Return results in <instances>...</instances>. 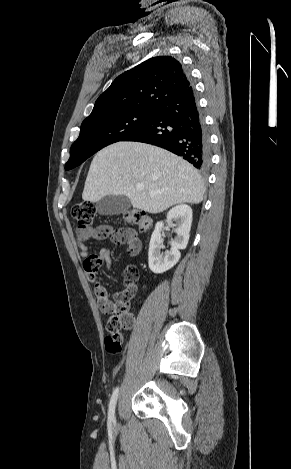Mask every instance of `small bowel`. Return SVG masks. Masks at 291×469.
<instances>
[{"mask_svg": "<svg viewBox=\"0 0 291 469\" xmlns=\"http://www.w3.org/2000/svg\"><path fill=\"white\" fill-rule=\"evenodd\" d=\"M112 232H120L121 237L118 239L113 238L118 243H123L127 247V251L130 255H136L139 253L141 248L140 240L134 230L131 229H114L109 225H105ZM90 238L82 234L80 231H77L76 234V244L79 248V255L84 259V269L88 275V278L91 282L94 283V291L96 295V300L99 308L102 312L108 314L109 311L114 307V300L117 297V294L114 295V298H111L107 288L101 284L96 277V272L88 270L86 263L88 260H98L101 264L104 265L105 269H109L112 263L111 253L108 249L101 248L97 251H92L87 241ZM99 283L100 288H96V284Z\"/></svg>", "mask_w": 291, "mask_h": 469, "instance_id": "obj_1", "label": "small bowel"}]
</instances>
